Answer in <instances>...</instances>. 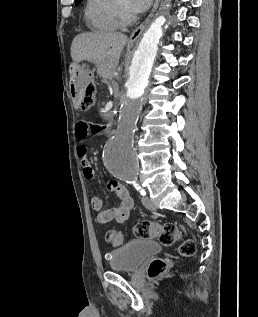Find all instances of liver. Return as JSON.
<instances>
[{"mask_svg": "<svg viewBox=\"0 0 258 317\" xmlns=\"http://www.w3.org/2000/svg\"><path fill=\"white\" fill-rule=\"evenodd\" d=\"M127 40L126 34L112 30L80 32L72 40L71 56L74 62L90 60L96 64L99 72H111L116 68Z\"/></svg>", "mask_w": 258, "mask_h": 317, "instance_id": "obj_1", "label": "liver"}]
</instances>
